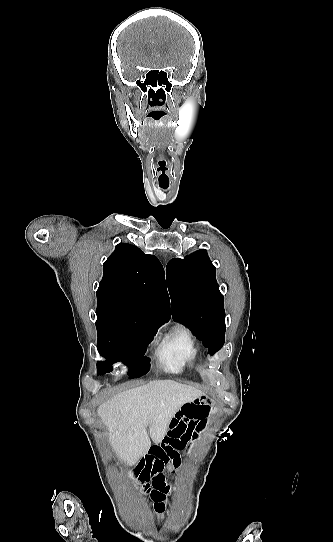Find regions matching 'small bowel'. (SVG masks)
I'll list each match as a JSON object with an SVG mask.
<instances>
[{
    "label": "small bowel",
    "instance_id": "small-bowel-1",
    "mask_svg": "<svg viewBox=\"0 0 333 542\" xmlns=\"http://www.w3.org/2000/svg\"><path fill=\"white\" fill-rule=\"evenodd\" d=\"M175 412L162 445L152 446L133 472L140 494L148 499L149 506L157 515L164 513L165 500L171 491V482L163 473L164 467L169 464L172 470L178 468L179 453L189 455L194 451L211 410L189 400L185 406H178ZM126 477L130 479L132 476L128 474Z\"/></svg>",
    "mask_w": 333,
    "mask_h": 542
}]
</instances>
